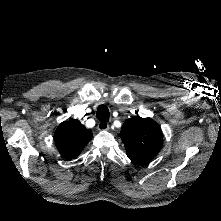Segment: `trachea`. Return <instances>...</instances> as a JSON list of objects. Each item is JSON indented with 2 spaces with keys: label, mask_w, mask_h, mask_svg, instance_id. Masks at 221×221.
<instances>
[{
  "label": "trachea",
  "mask_w": 221,
  "mask_h": 221,
  "mask_svg": "<svg viewBox=\"0 0 221 221\" xmlns=\"http://www.w3.org/2000/svg\"><path fill=\"white\" fill-rule=\"evenodd\" d=\"M96 118L101 122H108L109 121V110L106 105H101L98 107L96 112Z\"/></svg>",
  "instance_id": "trachea-1"
}]
</instances>
